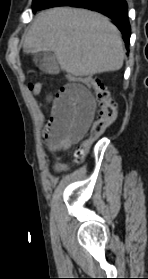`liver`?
Returning <instances> with one entry per match:
<instances>
[{"label": "liver", "mask_w": 148, "mask_h": 279, "mask_svg": "<svg viewBox=\"0 0 148 279\" xmlns=\"http://www.w3.org/2000/svg\"><path fill=\"white\" fill-rule=\"evenodd\" d=\"M23 49L53 51L61 69L74 76L117 71L125 57L120 32L107 17L70 7L40 13L25 35Z\"/></svg>", "instance_id": "obj_1"}]
</instances>
